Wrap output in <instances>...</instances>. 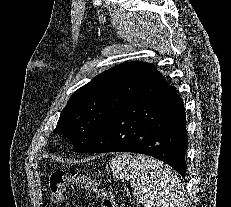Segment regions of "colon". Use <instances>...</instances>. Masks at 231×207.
<instances>
[{
    "label": "colon",
    "mask_w": 231,
    "mask_h": 207,
    "mask_svg": "<svg viewBox=\"0 0 231 207\" xmlns=\"http://www.w3.org/2000/svg\"><path fill=\"white\" fill-rule=\"evenodd\" d=\"M49 187L51 198L55 203L63 201L67 189L84 188L93 194L95 198L101 200L100 207H116L111 193L106 188L99 185L94 178L89 176L54 171L49 177Z\"/></svg>",
    "instance_id": "colon-1"
}]
</instances>
